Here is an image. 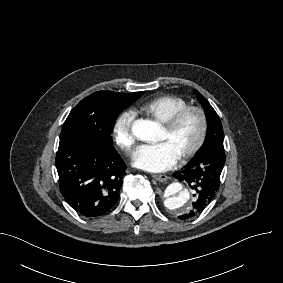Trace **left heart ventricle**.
<instances>
[{"label":"left heart ventricle","instance_id":"b2bd125f","mask_svg":"<svg viewBox=\"0 0 283 283\" xmlns=\"http://www.w3.org/2000/svg\"><path fill=\"white\" fill-rule=\"evenodd\" d=\"M200 134V120L196 113L185 115L177 127L168 132L165 128L157 139L158 142L166 141L180 155L190 149L197 141Z\"/></svg>","mask_w":283,"mask_h":283}]
</instances>
